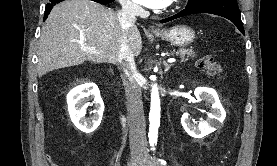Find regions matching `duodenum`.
<instances>
[{"label": "duodenum", "mask_w": 277, "mask_h": 166, "mask_svg": "<svg viewBox=\"0 0 277 166\" xmlns=\"http://www.w3.org/2000/svg\"><path fill=\"white\" fill-rule=\"evenodd\" d=\"M120 121L123 125H126L127 119H126L125 115H122V114L120 115Z\"/></svg>", "instance_id": "obj_1"}]
</instances>
